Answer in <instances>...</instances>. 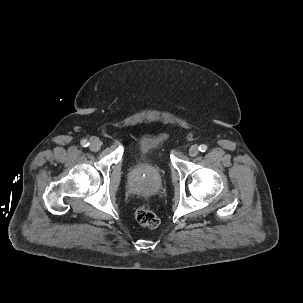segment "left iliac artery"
I'll use <instances>...</instances> for the list:
<instances>
[{"mask_svg": "<svg viewBox=\"0 0 303 303\" xmlns=\"http://www.w3.org/2000/svg\"><path fill=\"white\" fill-rule=\"evenodd\" d=\"M199 150H200L201 152H205V151L207 150V146H206L205 144H201V145L199 146Z\"/></svg>", "mask_w": 303, "mask_h": 303, "instance_id": "left-iliac-artery-1", "label": "left iliac artery"}]
</instances>
